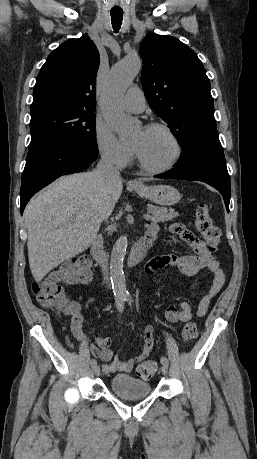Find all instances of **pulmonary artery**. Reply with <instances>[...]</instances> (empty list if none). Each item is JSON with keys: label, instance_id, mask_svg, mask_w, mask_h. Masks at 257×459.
I'll return each instance as SVG.
<instances>
[{"label": "pulmonary artery", "instance_id": "obj_1", "mask_svg": "<svg viewBox=\"0 0 257 459\" xmlns=\"http://www.w3.org/2000/svg\"><path fill=\"white\" fill-rule=\"evenodd\" d=\"M123 108L132 113H140L145 109V98L141 89L132 86L122 100Z\"/></svg>", "mask_w": 257, "mask_h": 459}]
</instances>
